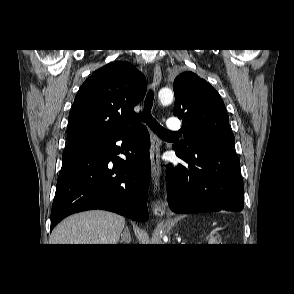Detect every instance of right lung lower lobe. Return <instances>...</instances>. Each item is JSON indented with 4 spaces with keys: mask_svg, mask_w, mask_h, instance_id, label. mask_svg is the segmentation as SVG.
I'll return each instance as SVG.
<instances>
[{
    "mask_svg": "<svg viewBox=\"0 0 294 294\" xmlns=\"http://www.w3.org/2000/svg\"><path fill=\"white\" fill-rule=\"evenodd\" d=\"M117 141H123L122 148ZM149 145L148 130L135 122L121 131L69 144L63 152L51 230L66 216L92 209L148 220ZM119 153L127 159L117 157Z\"/></svg>",
    "mask_w": 294,
    "mask_h": 294,
    "instance_id": "obj_1",
    "label": "right lung lower lobe"
}]
</instances>
